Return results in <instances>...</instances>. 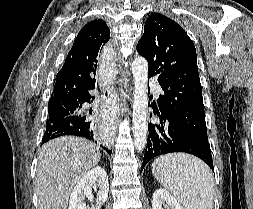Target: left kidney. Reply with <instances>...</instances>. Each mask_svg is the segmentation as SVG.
Instances as JSON below:
<instances>
[{"label":"left kidney","mask_w":253,"mask_h":209,"mask_svg":"<svg viewBox=\"0 0 253 209\" xmlns=\"http://www.w3.org/2000/svg\"><path fill=\"white\" fill-rule=\"evenodd\" d=\"M166 205L170 209H183L167 190L159 188L153 194L152 209H163V206Z\"/></svg>","instance_id":"left-kidney-1"}]
</instances>
